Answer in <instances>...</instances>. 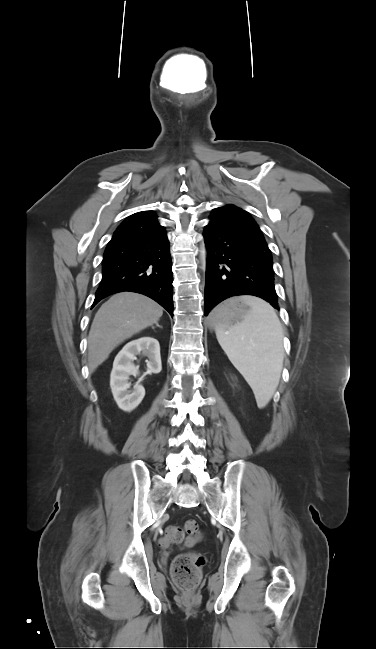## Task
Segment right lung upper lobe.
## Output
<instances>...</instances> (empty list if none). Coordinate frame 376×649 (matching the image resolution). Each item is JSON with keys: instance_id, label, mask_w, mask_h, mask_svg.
I'll return each instance as SVG.
<instances>
[{"instance_id": "obj_1", "label": "right lung upper lobe", "mask_w": 376, "mask_h": 649, "mask_svg": "<svg viewBox=\"0 0 376 649\" xmlns=\"http://www.w3.org/2000/svg\"><path fill=\"white\" fill-rule=\"evenodd\" d=\"M162 229L153 211H142L129 216L114 232L109 244L150 234Z\"/></svg>"}]
</instances>
